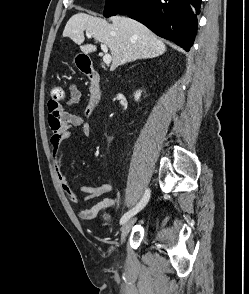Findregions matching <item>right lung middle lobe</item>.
I'll use <instances>...</instances> for the list:
<instances>
[{
    "instance_id": "obj_1",
    "label": "right lung middle lobe",
    "mask_w": 249,
    "mask_h": 294,
    "mask_svg": "<svg viewBox=\"0 0 249 294\" xmlns=\"http://www.w3.org/2000/svg\"><path fill=\"white\" fill-rule=\"evenodd\" d=\"M127 2L128 0H106L104 16L109 17L112 15H117Z\"/></svg>"
}]
</instances>
